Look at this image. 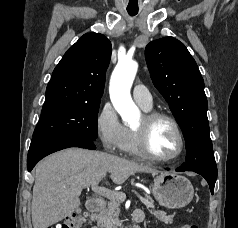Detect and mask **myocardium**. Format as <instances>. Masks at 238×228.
Masks as SVG:
<instances>
[{
	"mask_svg": "<svg viewBox=\"0 0 238 228\" xmlns=\"http://www.w3.org/2000/svg\"><path fill=\"white\" fill-rule=\"evenodd\" d=\"M160 120L167 121L168 123L171 124V126L173 127V129L177 135L178 142H179L177 152L173 156L167 157V158H163V157H159V156L155 155L151 151L150 146H149L150 129L155 122L160 121ZM134 131L136 133L138 145H139L141 152L143 153V155L146 158H148L150 160H153L156 162H161V163L173 162V161L177 160L182 155V153L184 151L185 139H184V135L181 130V127L172 116H170L166 113L157 112V111H150V112L145 113L143 115V125L141 127L135 128Z\"/></svg>",
	"mask_w": 238,
	"mask_h": 228,
	"instance_id": "1",
	"label": "myocardium"
}]
</instances>
